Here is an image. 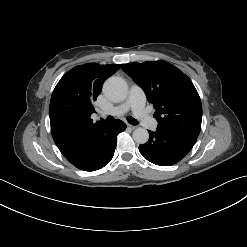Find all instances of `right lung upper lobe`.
<instances>
[{
    "label": "right lung upper lobe",
    "instance_id": "cb5924a9",
    "mask_svg": "<svg viewBox=\"0 0 247 247\" xmlns=\"http://www.w3.org/2000/svg\"><path fill=\"white\" fill-rule=\"evenodd\" d=\"M120 68L119 64L89 63L69 70L56 85L50 101L51 132L65 156L75 150L86 133L103 122L93 123V103L105 80Z\"/></svg>",
    "mask_w": 247,
    "mask_h": 247
}]
</instances>
